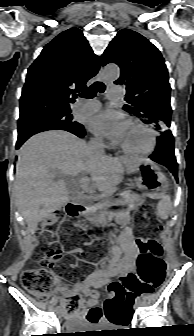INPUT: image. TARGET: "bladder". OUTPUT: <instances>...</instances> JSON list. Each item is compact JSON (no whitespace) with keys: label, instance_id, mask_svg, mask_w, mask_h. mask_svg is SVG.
Instances as JSON below:
<instances>
[{"label":"bladder","instance_id":"1","mask_svg":"<svg viewBox=\"0 0 194 336\" xmlns=\"http://www.w3.org/2000/svg\"><path fill=\"white\" fill-rule=\"evenodd\" d=\"M86 326H87V323H84V322L78 321V320H71L70 322H68L66 324L67 329H69L71 331L82 330V329H85Z\"/></svg>","mask_w":194,"mask_h":336}]
</instances>
